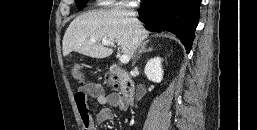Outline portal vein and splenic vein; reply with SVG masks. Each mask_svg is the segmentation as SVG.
I'll use <instances>...</instances> for the list:
<instances>
[{
    "label": "portal vein and splenic vein",
    "instance_id": "portal-vein-and-splenic-vein-1",
    "mask_svg": "<svg viewBox=\"0 0 257 130\" xmlns=\"http://www.w3.org/2000/svg\"><path fill=\"white\" fill-rule=\"evenodd\" d=\"M102 44L105 45V46H112V47L115 46V45H114V42L108 41V40H102ZM129 60H130V58H129V56H127V55H121V56H120V61H121L122 63H128Z\"/></svg>",
    "mask_w": 257,
    "mask_h": 130
}]
</instances>
